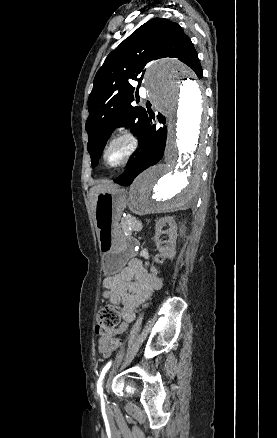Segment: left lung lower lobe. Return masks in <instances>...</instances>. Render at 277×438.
<instances>
[{
	"mask_svg": "<svg viewBox=\"0 0 277 438\" xmlns=\"http://www.w3.org/2000/svg\"><path fill=\"white\" fill-rule=\"evenodd\" d=\"M157 119L160 123L165 124V118L161 114L157 116ZM154 121V115L149 114V129L142 138L144 147L141 154L114 182L129 186L138 174L150 166L157 164L162 159L167 138V127L164 125V127L157 128Z\"/></svg>",
	"mask_w": 277,
	"mask_h": 438,
	"instance_id": "1",
	"label": "left lung lower lobe"
}]
</instances>
